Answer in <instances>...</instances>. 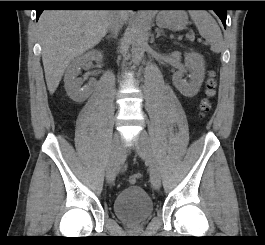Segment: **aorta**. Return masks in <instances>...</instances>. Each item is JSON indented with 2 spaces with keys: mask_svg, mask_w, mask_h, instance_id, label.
<instances>
[{
  "mask_svg": "<svg viewBox=\"0 0 265 245\" xmlns=\"http://www.w3.org/2000/svg\"><path fill=\"white\" fill-rule=\"evenodd\" d=\"M148 46V21L141 15L135 27V34L132 39V61L140 63Z\"/></svg>",
  "mask_w": 265,
  "mask_h": 245,
  "instance_id": "762f6f07",
  "label": "aorta"
}]
</instances>
